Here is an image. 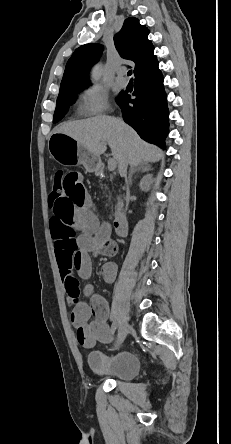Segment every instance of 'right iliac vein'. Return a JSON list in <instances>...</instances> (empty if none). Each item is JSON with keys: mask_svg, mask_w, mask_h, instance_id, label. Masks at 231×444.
Listing matches in <instances>:
<instances>
[{"mask_svg": "<svg viewBox=\"0 0 231 444\" xmlns=\"http://www.w3.org/2000/svg\"><path fill=\"white\" fill-rule=\"evenodd\" d=\"M128 329H129L128 322L126 320H122L120 322L118 339H117V342L114 346V349H117L123 343V341L127 335Z\"/></svg>", "mask_w": 231, "mask_h": 444, "instance_id": "1", "label": "right iliac vein"}]
</instances>
